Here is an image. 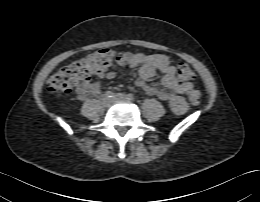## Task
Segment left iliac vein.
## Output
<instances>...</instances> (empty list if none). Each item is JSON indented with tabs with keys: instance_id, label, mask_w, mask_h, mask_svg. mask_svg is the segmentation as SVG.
Returning a JSON list of instances; mask_svg holds the SVG:
<instances>
[{
	"instance_id": "4c4485c4",
	"label": "left iliac vein",
	"mask_w": 260,
	"mask_h": 202,
	"mask_svg": "<svg viewBox=\"0 0 260 202\" xmlns=\"http://www.w3.org/2000/svg\"><path fill=\"white\" fill-rule=\"evenodd\" d=\"M113 101H129V100L126 95L118 93L113 96Z\"/></svg>"
}]
</instances>
